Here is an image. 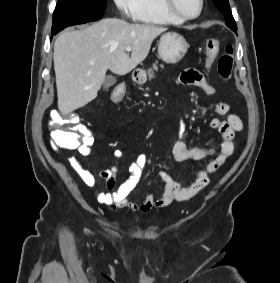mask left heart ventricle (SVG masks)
Wrapping results in <instances>:
<instances>
[{
	"instance_id": "b2bd125f",
	"label": "left heart ventricle",
	"mask_w": 280,
	"mask_h": 283,
	"mask_svg": "<svg viewBox=\"0 0 280 283\" xmlns=\"http://www.w3.org/2000/svg\"><path fill=\"white\" fill-rule=\"evenodd\" d=\"M178 10L187 15H195L199 10V0H174Z\"/></svg>"
}]
</instances>
